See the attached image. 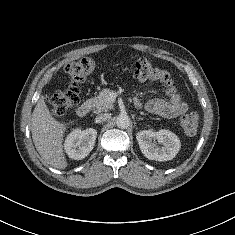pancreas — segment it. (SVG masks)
Returning <instances> with one entry per match:
<instances>
[{
	"label": "pancreas",
	"mask_w": 235,
	"mask_h": 235,
	"mask_svg": "<svg viewBox=\"0 0 235 235\" xmlns=\"http://www.w3.org/2000/svg\"><path fill=\"white\" fill-rule=\"evenodd\" d=\"M110 89H103L97 96L88 100L94 112L99 113L107 111L113 107V103L109 100Z\"/></svg>",
	"instance_id": "cf45deb5"
}]
</instances>
